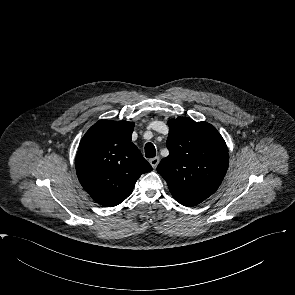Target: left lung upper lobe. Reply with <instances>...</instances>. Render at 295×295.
I'll return each mask as SVG.
<instances>
[{"label":"left lung upper lobe","instance_id":"5c2ea615","mask_svg":"<svg viewBox=\"0 0 295 295\" xmlns=\"http://www.w3.org/2000/svg\"><path fill=\"white\" fill-rule=\"evenodd\" d=\"M169 155L157 166L176 201L193 206L216 192L228 168V150L211 124L180 117L168 122Z\"/></svg>","mask_w":295,"mask_h":295}]
</instances>
